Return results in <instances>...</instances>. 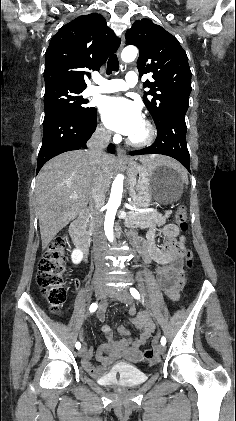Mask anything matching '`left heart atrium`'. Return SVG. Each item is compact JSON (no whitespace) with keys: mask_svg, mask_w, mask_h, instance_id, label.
<instances>
[{"mask_svg":"<svg viewBox=\"0 0 236 421\" xmlns=\"http://www.w3.org/2000/svg\"><path fill=\"white\" fill-rule=\"evenodd\" d=\"M101 111L114 131L131 136L143 123L140 109L130 100L114 96L103 100Z\"/></svg>","mask_w":236,"mask_h":421,"instance_id":"1","label":"left heart atrium"}]
</instances>
